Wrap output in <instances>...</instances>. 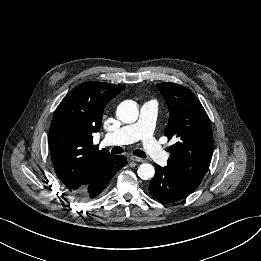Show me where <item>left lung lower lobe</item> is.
I'll use <instances>...</instances> for the list:
<instances>
[{"label": "left lung lower lobe", "mask_w": 261, "mask_h": 261, "mask_svg": "<svg viewBox=\"0 0 261 261\" xmlns=\"http://www.w3.org/2000/svg\"><path fill=\"white\" fill-rule=\"evenodd\" d=\"M155 176L149 184L150 194L164 203L180 201L190 195L193 191L185 188L167 167L154 164Z\"/></svg>", "instance_id": "obj_1"}]
</instances>
